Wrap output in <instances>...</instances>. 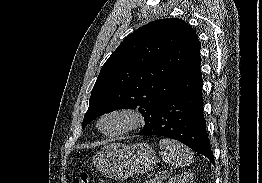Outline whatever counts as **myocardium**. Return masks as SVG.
I'll list each match as a JSON object with an SVG mask.
<instances>
[{"label": "myocardium", "mask_w": 262, "mask_h": 183, "mask_svg": "<svg viewBox=\"0 0 262 183\" xmlns=\"http://www.w3.org/2000/svg\"><path fill=\"white\" fill-rule=\"evenodd\" d=\"M110 115H124L128 118L129 122L124 128L118 131L111 132V133L104 132L101 128V123L107 116ZM144 124H145V115L140 109L132 106H118L104 111L99 116L96 126L98 131L104 136L118 137L136 131L142 128Z\"/></svg>", "instance_id": "obj_1"}]
</instances>
